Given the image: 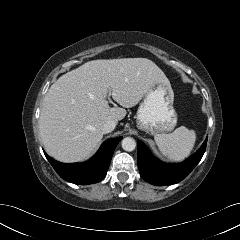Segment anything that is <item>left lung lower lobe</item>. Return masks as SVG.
Masks as SVG:
<instances>
[{"label":"left lung lower lobe","mask_w":240,"mask_h":240,"mask_svg":"<svg viewBox=\"0 0 240 240\" xmlns=\"http://www.w3.org/2000/svg\"><path fill=\"white\" fill-rule=\"evenodd\" d=\"M138 168L141 177L148 183L165 186L178 183L187 177L200 162L207 145V138L202 147L189 159L180 164H165L154 158L146 145L137 141Z\"/></svg>","instance_id":"left-lung-lower-lobe-1"}]
</instances>
